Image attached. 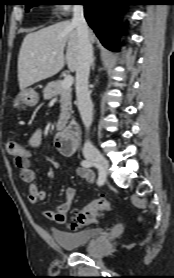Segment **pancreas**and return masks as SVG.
<instances>
[{
	"label": "pancreas",
	"mask_w": 174,
	"mask_h": 278,
	"mask_svg": "<svg viewBox=\"0 0 174 278\" xmlns=\"http://www.w3.org/2000/svg\"><path fill=\"white\" fill-rule=\"evenodd\" d=\"M72 89L71 88H62L61 81H53L47 84V86L43 90V97L45 99H52L56 95L60 96V107H61V114L60 120L62 124H65L66 121L70 118L71 112V95Z\"/></svg>",
	"instance_id": "1"
}]
</instances>
